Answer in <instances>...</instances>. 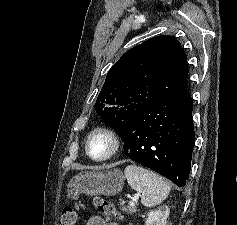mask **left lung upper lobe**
I'll list each match as a JSON object with an SVG mask.
<instances>
[{"label": "left lung upper lobe", "mask_w": 237, "mask_h": 225, "mask_svg": "<svg viewBox=\"0 0 237 225\" xmlns=\"http://www.w3.org/2000/svg\"><path fill=\"white\" fill-rule=\"evenodd\" d=\"M187 56L178 40L158 36L127 51L107 73L95 110L117 133L140 113L188 87Z\"/></svg>", "instance_id": "left-lung-upper-lobe-1"}]
</instances>
